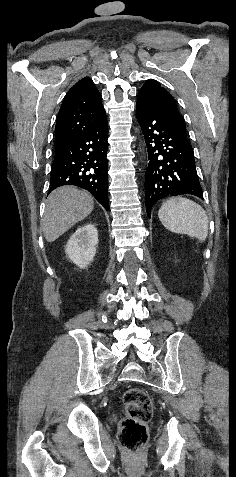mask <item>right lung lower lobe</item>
<instances>
[{"label": "right lung lower lobe", "mask_w": 236, "mask_h": 477, "mask_svg": "<svg viewBox=\"0 0 236 477\" xmlns=\"http://www.w3.org/2000/svg\"><path fill=\"white\" fill-rule=\"evenodd\" d=\"M107 119L64 149L55 152L50 191L63 185L88 190L106 209L108 202Z\"/></svg>", "instance_id": "1"}]
</instances>
